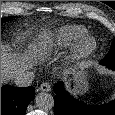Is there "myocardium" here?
Wrapping results in <instances>:
<instances>
[{"instance_id": "1", "label": "myocardium", "mask_w": 115, "mask_h": 115, "mask_svg": "<svg viewBox=\"0 0 115 115\" xmlns=\"http://www.w3.org/2000/svg\"><path fill=\"white\" fill-rule=\"evenodd\" d=\"M97 48L96 39L92 36H85L76 46V54L78 57H87L91 55Z\"/></svg>"}]
</instances>
